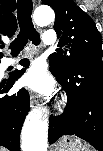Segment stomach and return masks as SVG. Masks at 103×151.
I'll return each mask as SVG.
<instances>
[{
    "mask_svg": "<svg viewBox=\"0 0 103 151\" xmlns=\"http://www.w3.org/2000/svg\"><path fill=\"white\" fill-rule=\"evenodd\" d=\"M80 141L72 137H63L56 145L53 151H82Z\"/></svg>",
    "mask_w": 103,
    "mask_h": 151,
    "instance_id": "1",
    "label": "stomach"
}]
</instances>
